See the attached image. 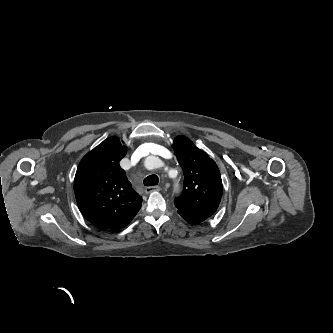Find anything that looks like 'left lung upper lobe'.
Wrapping results in <instances>:
<instances>
[{
	"label": "left lung upper lobe",
	"mask_w": 333,
	"mask_h": 333,
	"mask_svg": "<svg viewBox=\"0 0 333 333\" xmlns=\"http://www.w3.org/2000/svg\"><path fill=\"white\" fill-rule=\"evenodd\" d=\"M183 168V190L174 204L179 211L210 217L222 196V180L216 163L185 136L175 138L172 145Z\"/></svg>",
	"instance_id": "obj_1"
}]
</instances>
